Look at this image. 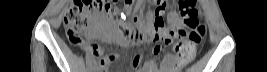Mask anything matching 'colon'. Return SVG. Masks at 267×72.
I'll list each match as a JSON object with an SVG mask.
<instances>
[{
	"label": "colon",
	"mask_w": 267,
	"mask_h": 72,
	"mask_svg": "<svg viewBox=\"0 0 267 72\" xmlns=\"http://www.w3.org/2000/svg\"><path fill=\"white\" fill-rule=\"evenodd\" d=\"M115 3L130 5L132 0H73L64 10L63 20L68 39L75 46H85L84 33L90 26V16L101 15L108 19V28L122 35L129 43L138 44L147 38L156 53L173 41V34L161 25L162 15L166 10L167 1H160L158 6L148 12L155 20L151 32H142L136 28L122 27L119 32V11ZM195 0H180L179 8L182 13L186 30H181L185 40L178 45L177 69L190 63L196 56L197 46L205 37V26L199 22L198 9Z\"/></svg>",
	"instance_id": "1"
}]
</instances>
